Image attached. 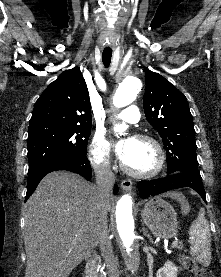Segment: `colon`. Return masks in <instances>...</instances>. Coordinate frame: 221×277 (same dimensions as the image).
<instances>
[{
    "mask_svg": "<svg viewBox=\"0 0 221 277\" xmlns=\"http://www.w3.org/2000/svg\"><path fill=\"white\" fill-rule=\"evenodd\" d=\"M181 263L184 268L191 272L195 277H215L211 270L201 267L194 259L189 256H182Z\"/></svg>",
    "mask_w": 221,
    "mask_h": 277,
    "instance_id": "5ec220e1",
    "label": "colon"
}]
</instances>
